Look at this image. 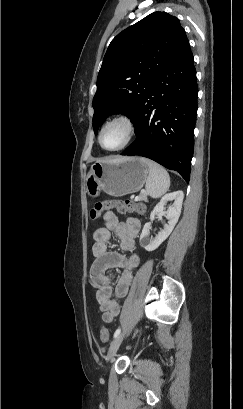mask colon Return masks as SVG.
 Segmentation results:
<instances>
[{
    "mask_svg": "<svg viewBox=\"0 0 243 409\" xmlns=\"http://www.w3.org/2000/svg\"><path fill=\"white\" fill-rule=\"evenodd\" d=\"M116 209L119 213H133L136 215H144L146 207L142 203L134 202L133 200H114L97 202L90 210V217L96 220L100 217L104 210ZM99 337L102 343H107L109 340V331L102 327L99 332Z\"/></svg>",
    "mask_w": 243,
    "mask_h": 409,
    "instance_id": "5ec220e1",
    "label": "colon"
}]
</instances>
